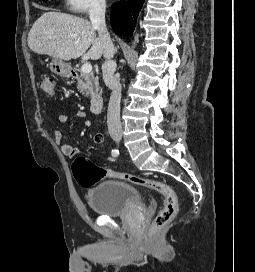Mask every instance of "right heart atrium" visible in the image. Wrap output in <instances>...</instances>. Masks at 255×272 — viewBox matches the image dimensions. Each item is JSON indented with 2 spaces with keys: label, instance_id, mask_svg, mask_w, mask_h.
Returning <instances> with one entry per match:
<instances>
[{
  "label": "right heart atrium",
  "instance_id": "right-heart-atrium-1",
  "mask_svg": "<svg viewBox=\"0 0 255 272\" xmlns=\"http://www.w3.org/2000/svg\"><path fill=\"white\" fill-rule=\"evenodd\" d=\"M66 6L72 12L85 14L104 9L106 0H66Z\"/></svg>",
  "mask_w": 255,
  "mask_h": 272
}]
</instances>
